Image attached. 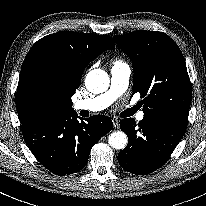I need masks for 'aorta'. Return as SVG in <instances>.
Segmentation results:
<instances>
[{
	"label": "aorta",
	"instance_id": "1",
	"mask_svg": "<svg viewBox=\"0 0 206 206\" xmlns=\"http://www.w3.org/2000/svg\"><path fill=\"white\" fill-rule=\"evenodd\" d=\"M109 77L104 70L94 69L85 79L86 88L95 94L102 93L109 87ZM127 136L122 131H116L109 136V144L114 149H124L127 145Z\"/></svg>",
	"mask_w": 206,
	"mask_h": 206
}]
</instances>
